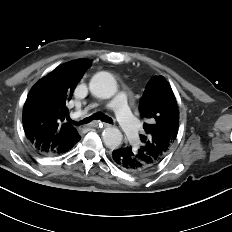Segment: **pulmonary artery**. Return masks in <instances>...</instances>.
Wrapping results in <instances>:
<instances>
[{
    "label": "pulmonary artery",
    "mask_w": 232,
    "mask_h": 232,
    "mask_svg": "<svg viewBox=\"0 0 232 232\" xmlns=\"http://www.w3.org/2000/svg\"><path fill=\"white\" fill-rule=\"evenodd\" d=\"M128 100L129 95L121 91L117 94L115 100L107 105V108L115 112L117 120L127 139L132 145L136 146L139 140L138 123L128 106Z\"/></svg>",
    "instance_id": "pulmonary-artery-1"
}]
</instances>
